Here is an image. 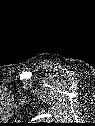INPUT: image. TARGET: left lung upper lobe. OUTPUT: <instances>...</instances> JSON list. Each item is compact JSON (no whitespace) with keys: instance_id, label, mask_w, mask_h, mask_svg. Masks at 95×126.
Instances as JSON below:
<instances>
[{"instance_id":"obj_1","label":"left lung upper lobe","mask_w":95,"mask_h":126,"mask_svg":"<svg viewBox=\"0 0 95 126\" xmlns=\"http://www.w3.org/2000/svg\"><path fill=\"white\" fill-rule=\"evenodd\" d=\"M36 126H50V124L40 123V124H37Z\"/></svg>"}]
</instances>
